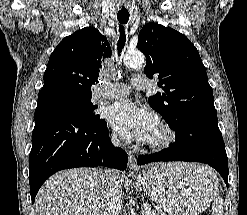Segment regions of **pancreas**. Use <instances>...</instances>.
<instances>
[{"label": "pancreas", "instance_id": "1", "mask_svg": "<svg viewBox=\"0 0 247 215\" xmlns=\"http://www.w3.org/2000/svg\"><path fill=\"white\" fill-rule=\"evenodd\" d=\"M143 215H167L165 212H162L160 210L157 211H149V213L147 211H143Z\"/></svg>", "mask_w": 247, "mask_h": 215}]
</instances>
